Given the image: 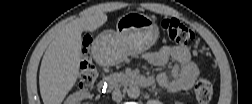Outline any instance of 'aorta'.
Wrapping results in <instances>:
<instances>
[{"label": "aorta", "mask_w": 252, "mask_h": 104, "mask_svg": "<svg viewBox=\"0 0 252 104\" xmlns=\"http://www.w3.org/2000/svg\"><path fill=\"white\" fill-rule=\"evenodd\" d=\"M127 95L128 97L132 99H136L140 96V89L139 87L132 85L127 89Z\"/></svg>", "instance_id": "1"}]
</instances>
